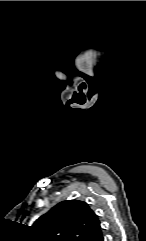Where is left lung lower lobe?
I'll return each mask as SVG.
<instances>
[{
    "label": "left lung lower lobe",
    "instance_id": "0a47b994",
    "mask_svg": "<svg viewBox=\"0 0 146 241\" xmlns=\"http://www.w3.org/2000/svg\"><path fill=\"white\" fill-rule=\"evenodd\" d=\"M84 241H104L101 227L96 233L88 236Z\"/></svg>",
    "mask_w": 146,
    "mask_h": 241
}]
</instances>
